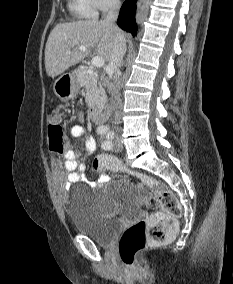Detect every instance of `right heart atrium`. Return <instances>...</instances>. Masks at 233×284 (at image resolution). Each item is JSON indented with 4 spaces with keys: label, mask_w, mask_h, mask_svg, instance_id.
<instances>
[{
    "label": "right heart atrium",
    "mask_w": 233,
    "mask_h": 284,
    "mask_svg": "<svg viewBox=\"0 0 233 284\" xmlns=\"http://www.w3.org/2000/svg\"><path fill=\"white\" fill-rule=\"evenodd\" d=\"M97 10L106 12L119 6L120 0H93Z\"/></svg>",
    "instance_id": "right-heart-atrium-1"
}]
</instances>
